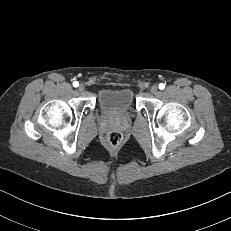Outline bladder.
Instances as JSON below:
<instances>
[{
  "label": "bladder",
  "mask_w": 231,
  "mask_h": 231,
  "mask_svg": "<svg viewBox=\"0 0 231 231\" xmlns=\"http://www.w3.org/2000/svg\"><path fill=\"white\" fill-rule=\"evenodd\" d=\"M98 104L103 113L122 116L132 110L134 95L128 88L104 89L98 95Z\"/></svg>",
  "instance_id": "bladder-1"
}]
</instances>
